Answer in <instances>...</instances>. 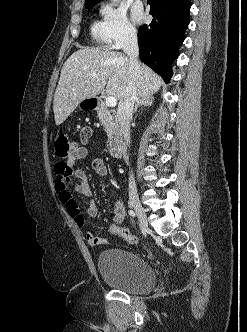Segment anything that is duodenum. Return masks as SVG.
Listing matches in <instances>:
<instances>
[{"instance_id":"duodenum-1","label":"duodenum","mask_w":247,"mask_h":332,"mask_svg":"<svg viewBox=\"0 0 247 332\" xmlns=\"http://www.w3.org/2000/svg\"><path fill=\"white\" fill-rule=\"evenodd\" d=\"M91 106L94 110H105L104 103L99 99H93ZM109 150L114 157H120L123 153V139L119 131L114 130L109 138Z\"/></svg>"}]
</instances>
